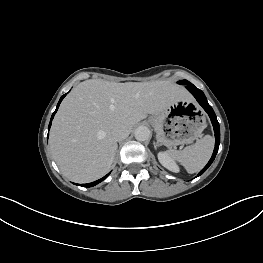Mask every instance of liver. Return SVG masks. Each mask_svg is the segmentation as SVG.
Listing matches in <instances>:
<instances>
[{
  "instance_id": "1",
  "label": "liver",
  "mask_w": 263,
  "mask_h": 263,
  "mask_svg": "<svg viewBox=\"0 0 263 263\" xmlns=\"http://www.w3.org/2000/svg\"><path fill=\"white\" fill-rule=\"evenodd\" d=\"M188 98L183 87L169 81H83L54 117L49 137L53 158L71 181L97 180L113 163L118 147L111 133L115 126L124 125L130 132L147 114H158Z\"/></svg>"
}]
</instances>
